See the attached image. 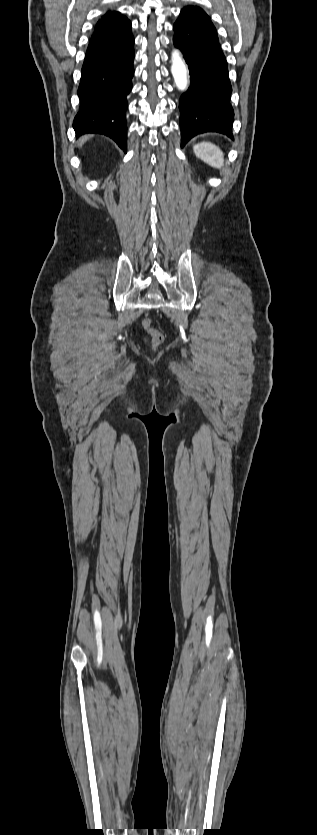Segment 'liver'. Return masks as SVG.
<instances>
[{
  "label": "liver",
  "mask_w": 317,
  "mask_h": 835,
  "mask_svg": "<svg viewBox=\"0 0 317 835\" xmlns=\"http://www.w3.org/2000/svg\"><path fill=\"white\" fill-rule=\"evenodd\" d=\"M87 138H88L87 136L82 137V138L80 139L81 143H83L84 141H86V140H87Z\"/></svg>",
  "instance_id": "obj_1"
}]
</instances>
